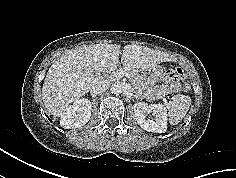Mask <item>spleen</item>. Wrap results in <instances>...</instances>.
Masks as SVG:
<instances>
[{
  "label": "spleen",
  "mask_w": 236,
  "mask_h": 178,
  "mask_svg": "<svg viewBox=\"0 0 236 178\" xmlns=\"http://www.w3.org/2000/svg\"><path fill=\"white\" fill-rule=\"evenodd\" d=\"M191 105V98L185 95H175L167 104L169 122L176 125L185 117Z\"/></svg>",
  "instance_id": "1"
}]
</instances>
